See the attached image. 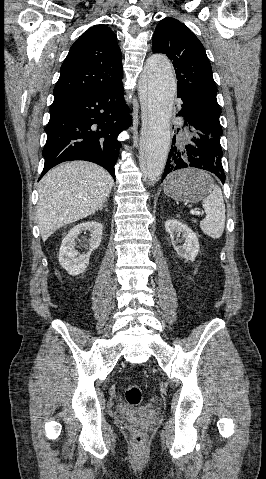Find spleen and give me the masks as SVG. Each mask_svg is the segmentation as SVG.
Masks as SVG:
<instances>
[{
    "label": "spleen",
    "mask_w": 266,
    "mask_h": 479,
    "mask_svg": "<svg viewBox=\"0 0 266 479\" xmlns=\"http://www.w3.org/2000/svg\"><path fill=\"white\" fill-rule=\"evenodd\" d=\"M202 206L206 217L200 222L203 233L213 239L222 236L225 228V204L222 191L219 186L212 184L208 196L203 199Z\"/></svg>",
    "instance_id": "1"
}]
</instances>
